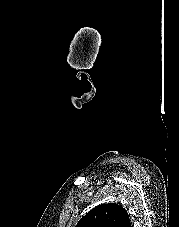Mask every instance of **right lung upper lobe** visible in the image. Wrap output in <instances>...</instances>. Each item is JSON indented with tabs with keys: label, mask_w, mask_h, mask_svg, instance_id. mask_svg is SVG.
Instances as JSON below:
<instances>
[{
	"label": "right lung upper lobe",
	"mask_w": 179,
	"mask_h": 227,
	"mask_svg": "<svg viewBox=\"0 0 179 227\" xmlns=\"http://www.w3.org/2000/svg\"><path fill=\"white\" fill-rule=\"evenodd\" d=\"M75 227H132L127 211L116 203L101 204L83 216Z\"/></svg>",
	"instance_id": "right-lung-upper-lobe-1"
}]
</instances>
